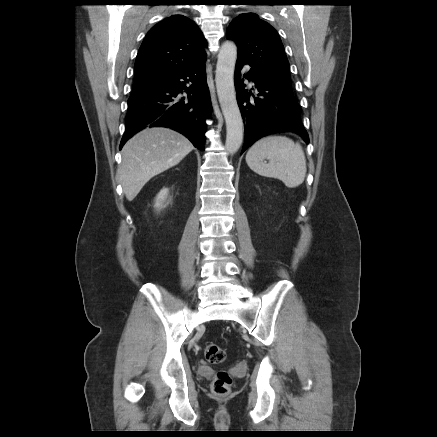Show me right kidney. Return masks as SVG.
I'll list each match as a JSON object with an SVG mask.
<instances>
[{"mask_svg": "<svg viewBox=\"0 0 437 437\" xmlns=\"http://www.w3.org/2000/svg\"><path fill=\"white\" fill-rule=\"evenodd\" d=\"M168 195V189H163L160 191V193L157 195L155 207L156 208H162V203L165 201Z\"/></svg>", "mask_w": 437, "mask_h": 437, "instance_id": "ca27d5eb", "label": "right kidney"}]
</instances>
